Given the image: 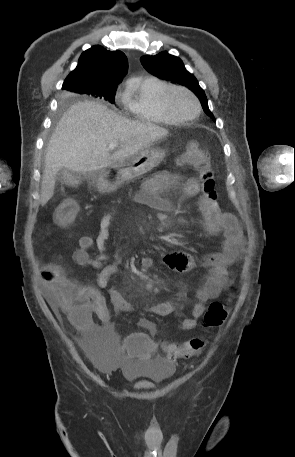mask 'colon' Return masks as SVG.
<instances>
[{"label": "colon", "instance_id": "obj_1", "mask_svg": "<svg viewBox=\"0 0 295 457\" xmlns=\"http://www.w3.org/2000/svg\"><path fill=\"white\" fill-rule=\"evenodd\" d=\"M179 161L182 165L192 166L198 172L202 198L217 204L214 172L209 154L202 150L196 141H190ZM77 213V205L72 201H66L57 208L54 218L59 225L66 226L75 220ZM44 273L54 279V293L60 307L68 313L70 319L76 320L82 313L85 303L83 288L67 278L62 269L55 264L47 265ZM227 315V306L223 302H212L204 314V323L210 328L219 327L225 322ZM204 345L205 339L197 337L181 341L180 345L165 343L159 353L157 342L151 341L150 330H129V333H124V341L117 346V355L127 363L149 362L159 360L160 357L165 362H174L196 355Z\"/></svg>", "mask_w": 295, "mask_h": 457}]
</instances>
